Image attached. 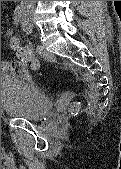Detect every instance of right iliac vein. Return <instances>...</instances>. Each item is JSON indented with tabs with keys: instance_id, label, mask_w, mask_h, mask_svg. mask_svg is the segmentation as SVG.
I'll use <instances>...</instances> for the list:
<instances>
[{
	"instance_id": "right-iliac-vein-1",
	"label": "right iliac vein",
	"mask_w": 121,
	"mask_h": 169,
	"mask_svg": "<svg viewBox=\"0 0 121 169\" xmlns=\"http://www.w3.org/2000/svg\"><path fill=\"white\" fill-rule=\"evenodd\" d=\"M27 23L31 26H33L32 22L30 20L27 21Z\"/></svg>"
}]
</instances>
